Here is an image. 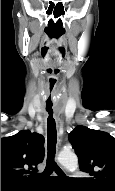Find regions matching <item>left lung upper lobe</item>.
<instances>
[{
    "mask_svg": "<svg viewBox=\"0 0 115 191\" xmlns=\"http://www.w3.org/2000/svg\"><path fill=\"white\" fill-rule=\"evenodd\" d=\"M69 140L81 171L93 176L84 182L97 190L115 191V138L79 125L69 134Z\"/></svg>",
    "mask_w": 115,
    "mask_h": 191,
    "instance_id": "5c2ea615",
    "label": "left lung upper lobe"
}]
</instances>
